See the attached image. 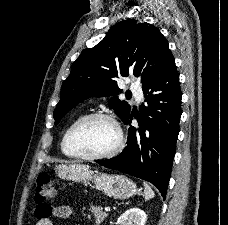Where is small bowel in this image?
Instances as JSON below:
<instances>
[{
    "mask_svg": "<svg viewBox=\"0 0 228 225\" xmlns=\"http://www.w3.org/2000/svg\"><path fill=\"white\" fill-rule=\"evenodd\" d=\"M38 213L37 218L39 219L36 222V225H53L52 216L56 218H70L72 216V210L70 207L65 205H59V203H51V204H38Z\"/></svg>",
    "mask_w": 228,
    "mask_h": 225,
    "instance_id": "1",
    "label": "small bowel"
}]
</instances>
